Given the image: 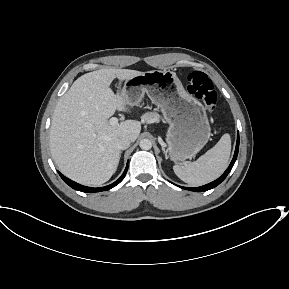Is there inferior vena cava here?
I'll return each instance as SVG.
<instances>
[{
	"instance_id": "602c4592",
	"label": "inferior vena cava",
	"mask_w": 289,
	"mask_h": 289,
	"mask_svg": "<svg viewBox=\"0 0 289 289\" xmlns=\"http://www.w3.org/2000/svg\"><path fill=\"white\" fill-rule=\"evenodd\" d=\"M131 140L128 137H120L117 142V148L120 150H125L130 146Z\"/></svg>"
}]
</instances>
